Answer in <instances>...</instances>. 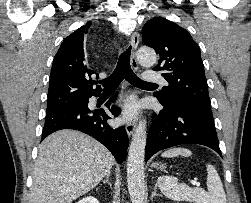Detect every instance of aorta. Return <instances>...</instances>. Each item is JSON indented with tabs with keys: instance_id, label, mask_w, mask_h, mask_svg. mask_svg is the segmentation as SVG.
<instances>
[{
	"instance_id": "1",
	"label": "aorta",
	"mask_w": 251,
	"mask_h": 203,
	"mask_svg": "<svg viewBox=\"0 0 251 203\" xmlns=\"http://www.w3.org/2000/svg\"><path fill=\"white\" fill-rule=\"evenodd\" d=\"M137 58L141 65L152 66L157 60V55L151 48H141L137 52ZM146 138V121L142 120L139 122L132 136L127 159V183L132 203H143L144 200V156Z\"/></svg>"
}]
</instances>
